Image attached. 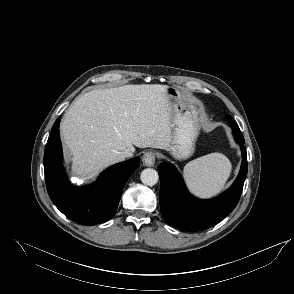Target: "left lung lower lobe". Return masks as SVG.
I'll return each mask as SVG.
<instances>
[{
  "instance_id": "0a47b994",
  "label": "left lung lower lobe",
  "mask_w": 294,
  "mask_h": 294,
  "mask_svg": "<svg viewBox=\"0 0 294 294\" xmlns=\"http://www.w3.org/2000/svg\"><path fill=\"white\" fill-rule=\"evenodd\" d=\"M227 119L237 143L241 144L242 164L233 185L220 196L210 200H199L187 191L181 175L169 163L158 166L160 177V209L165 221L181 230L202 231L222 221L236 207L247 175V153L244 138L231 116Z\"/></svg>"
}]
</instances>
